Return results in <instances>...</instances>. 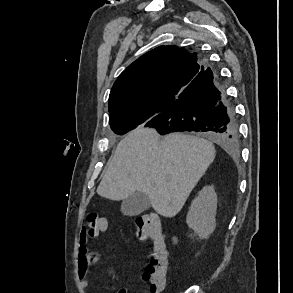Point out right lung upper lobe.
I'll list each match as a JSON object with an SVG mask.
<instances>
[{
  "label": "right lung upper lobe",
  "instance_id": "1",
  "mask_svg": "<svg viewBox=\"0 0 293 293\" xmlns=\"http://www.w3.org/2000/svg\"><path fill=\"white\" fill-rule=\"evenodd\" d=\"M205 68L196 53L171 45L155 48L117 78L109 96V118L141 109L153 110L152 118L157 116Z\"/></svg>",
  "mask_w": 293,
  "mask_h": 293
}]
</instances>
